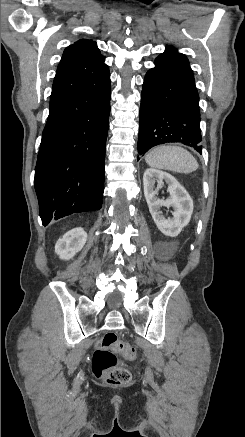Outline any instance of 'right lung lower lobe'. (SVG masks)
Masks as SVG:
<instances>
[{"label": "right lung lower lobe", "instance_id": "right-lung-lower-lobe-1", "mask_svg": "<svg viewBox=\"0 0 245 437\" xmlns=\"http://www.w3.org/2000/svg\"><path fill=\"white\" fill-rule=\"evenodd\" d=\"M110 76L82 94L50 102L35 168L42 224L101 208Z\"/></svg>", "mask_w": 245, "mask_h": 437}]
</instances>
